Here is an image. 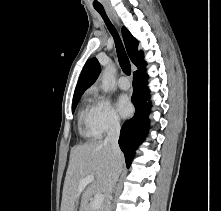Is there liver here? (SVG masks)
I'll return each instance as SVG.
<instances>
[{"mask_svg": "<svg viewBox=\"0 0 221 211\" xmlns=\"http://www.w3.org/2000/svg\"><path fill=\"white\" fill-rule=\"evenodd\" d=\"M123 160V154L114 157L110 145L102 141L72 148L63 186L61 211H76L79 199V210L84 211L87 199L92 194L106 196L115 164H122ZM87 176H93L94 181L80 191L79 183Z\"/></svg>", "mask_w": 221, "mask_h": 211, "instance_id": "1", "label": "liver"}]
</instances>
